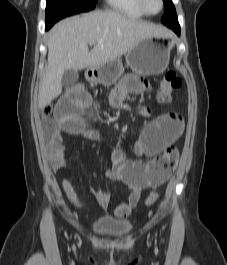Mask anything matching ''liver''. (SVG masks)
<instances>
[{
	"label": "liver",
	"instance_id": "6515ba94",
	"mask_svg": "<svg viewBox=\"0 0 227 265\" xmlns=\"http://www.w3.org/2000/svg\"><path fill=\"white\" fill-rule=\"evenodd\" d=\"M168 35L162 27L116 11H95L61 20L48 34V64L40 81L38 107L44 108L61 94L66 70L104 65L145 38ZM89 44L94 45L91 51Z\"/></svg>",
	"mask_w": 227,
	"mask_h": 265
}]
</instances>
